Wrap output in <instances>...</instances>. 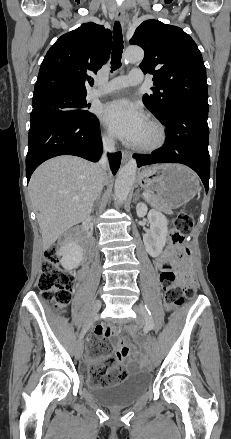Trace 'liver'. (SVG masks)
Instances as JSON below:
<instances>
[{
	"label": "liver",
	"mask_w": 231,
	"mask_h": 439,
	"mask_svg": "<svg viewBox=\"0 0 231 439\" xmlns=\"http://www.w3.org/2000/svg\"><path fill=\"white\" fill-rule=\"evenodd\" d=\"M107 181L102 180L97 165L69 155L50 159L35 170L28 188L38 212L43 250L89 217Z\"/></svg>",
	"instance_id": "obj_1"
}]
</instances>
